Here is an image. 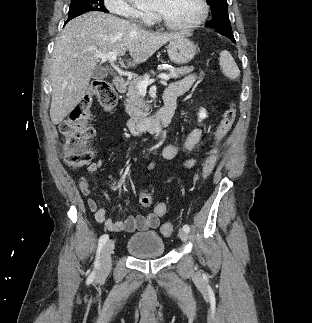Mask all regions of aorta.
I'll list each match as a JSON object with an SVG mask.
<instances>
[{
  "mask_svg": "<svg viewBox=\"0 0 312 323\" xmlns=\"http://www.w3.org/2000/svg\"><path fill=\"white\" fill-rule=\"evenodd\" d=\"M152 126H154L153 130H154L156 136H160L162 130L159 126V122H154V124H152Z\"/></svg>",
  "mask_w": 312,
  "mask_h": 323,
  "instance_id": "obj_1",
  "label": "aorta"
}]
</instances>
